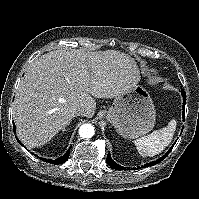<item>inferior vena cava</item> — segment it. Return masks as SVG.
<instances>
[{
    "instance_id": "602c4592",
    "label": "inferior vena cava",
    "mask_w": 199,
    "mask_h": 199,
    "mask_svg": "<svg viewBox=\"0 0 199 199\" xmlns=\"http://www.w3.org/2000/svg\"><path fill=\"white\" fill-rule=\"evenodd\" d=\"M75 115H77V116H85V108L77 107L75 109Z\"/></svg>"
}]
</instances>
